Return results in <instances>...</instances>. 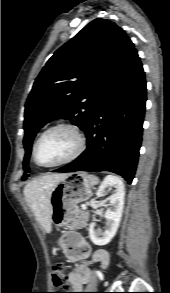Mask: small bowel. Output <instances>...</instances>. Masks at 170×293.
Listing matches in <instances>:
<instances>
[{
    "mask_svg": "<svg viewBox=\"0 0 170 293\" xmlns=\"http://www.w3.org/2000/svg\"><path fill=\"white\" fill-rule=\"evenodd\" d=\"M63 250L66 258L70 261H81L91 258L94 264H100L103 268L109 264V255L104 250L90 251L85 238L75 231L66 232L63 235ZM91 270L86 263L79 264L68 276V285L72 291H80L88 284ZM79 293V292H73Z\"/></svg>",
    "mask_w": 170,
    "mask_h": 293,
    "instance_id": "small-bowel-1",
    "label": "small bowel"
}]
</instances>
